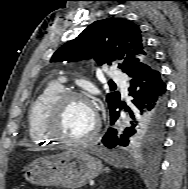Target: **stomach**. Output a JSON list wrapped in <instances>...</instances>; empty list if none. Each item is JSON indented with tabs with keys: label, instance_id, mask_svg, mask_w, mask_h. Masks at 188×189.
I'll return each mask as SVG.
<instances>
[{
	"label": "stomach",
	"instance_id": "stomach-1",
	"mask_svg": "<svg viewBox=\"0 0 188 189\" xmlns=\"http://www.w3.org/2000/svg\"><path fill=\"white\" fill-rule=\"evenodd\" d=\"M101 171V162L93 156L84 151L69 150L34 160L25 168L24 178L32 184L76 189Z\"/></svg>",
	"mask_w": 188,
	"mask_h": 189
}]
</instances>
